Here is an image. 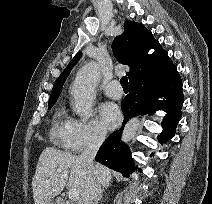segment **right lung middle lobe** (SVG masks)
I'll return each mask as SVG.
<instances>
[{
  "mask_svg": "<svg viewBox=\"0 0 212 204\" xmlns=\"http://www.w3.org/2000/svg\"><path fill=\"white\" fill-rule=\"evenodd\" d=\"M54 103H55V102H49L48 108L50 109V108L53 106Z\"/></svg>",
  "mask_w": 212,
  "mask_h": 204,
  "instance_id": "obj_1",
  "label": "right lung middle lobe"
}]
</instances>
